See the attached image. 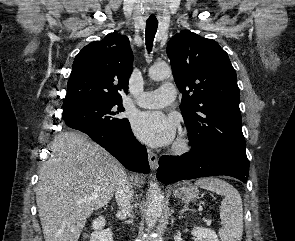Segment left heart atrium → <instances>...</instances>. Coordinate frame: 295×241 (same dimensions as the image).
Masks as SVG:
<instances>
[{"label":"left heart atrium","instance_id":"left-heart-atrium-1","mask_svg":"<svg viewBox=\"0 0 295 241\" xmlns=\"http://www.w3.org/2000/svg\"><path fill=\"white\" fill-rule=\"evenodd\" d=\"M136 136L144 143L159 147L171 144L177 134L178 123L159 111L141 112L132 122Z\"/></svg>","mask_w":295,"mask_h":241}]
</instances>
